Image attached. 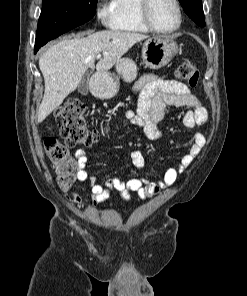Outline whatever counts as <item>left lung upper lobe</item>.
<instances>
[{
  "label": "left lung upper lobe",
  "mask_w": 247,
  "mask_h": 296,
  "mask_svg": "<svg viewBox=\"0 0 247 296\" xmlns=\"http://www.w3.org/2000/svg\"><path fill=\"white\" fill-rule=\"evenodd\" d=\"M186 14L199 26H205L202 0H179Z\"/></svg>",
  "instance_id": "5c2ea615"
}]
</instances>
